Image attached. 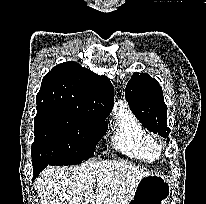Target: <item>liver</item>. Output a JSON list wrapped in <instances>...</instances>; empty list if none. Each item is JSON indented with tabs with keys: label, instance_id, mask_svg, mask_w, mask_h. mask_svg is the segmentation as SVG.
<instances>
[{
	"label": "liver",
	"instance_id": "liver-1",
	"mask_svg": "<svg viewBox=\"0 0 206 204\" xmlns=\"http://www.w3.org/2000/svg\"><path fill=\"white\" fill-rule=\"evenodd\" d=\"M149 174L132 164L103 160L45 169L34 188L41 204H128L140 179Z\"/></svg>",
	"mask_w": 206,
	"mask_h": 204
}]
</instances>
